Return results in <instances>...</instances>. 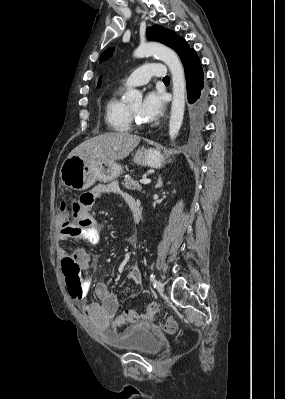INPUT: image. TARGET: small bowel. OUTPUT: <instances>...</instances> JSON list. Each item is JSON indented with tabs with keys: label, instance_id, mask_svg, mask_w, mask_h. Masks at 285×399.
I'll return each mask as SVG.
<instances>
[{
	"label": "small bowel",
	"instance_id": "1",
	"mask_svg": "<svg viewBox=\"0 0 285 399\" xmlns=\"http://www.w3.org/2000/svg\"><path fill=\"white\" fill-rule=\"evenodd\" d=\"M96 197L101 195V191L94 189L91 191ZM113 193L122 196L127 206L133 213V208L137 207L140 209L138 201L129 193L123 192L120 189H114ZM87 220L89 221L85 228H80L71 224V222H65L61 214L60 208H58L59 218L62 221L61 228L59 231V239L61 241H67L70 239H80L88 243H98L100 233L102 231V224L94 219L90 214V206L84 207L83 209ZM72 254L68 249L60 250L61 260L67 257H71ZM76 259L84 271L90 267V254L84 249H79L76 253ZM128 278L136 286H141L143 283V277L140 269L137 265L130 267L128 271ZM81 298H74L70 293L71 298L78 302L84 318L97 330L104 331L111 326V322L115 318L118 308L119 301L117 296L109 290V287L103 282H96L93 286L94 293L99 303H86V293L90 290V280L85 278L82 282Z\"/></svg>",
	"mask_w": 285,
	"mask_h": 399
}]
</instances>
